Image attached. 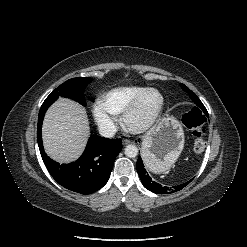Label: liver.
<instances>
[{
    "label": "liver",
    "instance_id": "liver-1",
    "mask_svg": "<svg viewBox=\"0 0 247 247\" xmlns=\"http://www.w3.org/2000/svg\"><path fill=\"white\" fill-rule=\"evenodd\" d=\"M42 134L48 156L60 163L75 161L89 137L85 109L70 99L60 98L47 111Z\"/></svg>",
    "mask_w": 247,
    "mask_h": 247
}]
</instances>
